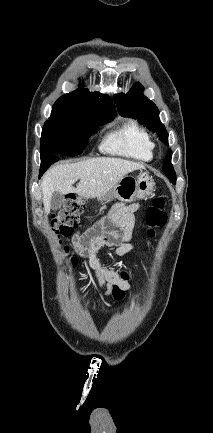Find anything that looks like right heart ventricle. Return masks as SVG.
Instances as JSON below:
<instances>
[{"label":"right heart ventricle","instance_id":"1","mask_svg":"<svg viewBox=\"0 0 213 433\" xmlns=\"http://www.w3.org/2000/svg\"><path fill=\"white\" fill-rule=\"evenodd\" d=\"M101 148L108 153L149 161L153 158L155 144L147 131L136 122L129 121L110 133Z\"/></svg>","mask_w":213,"mask_h":433}]
</instances>
